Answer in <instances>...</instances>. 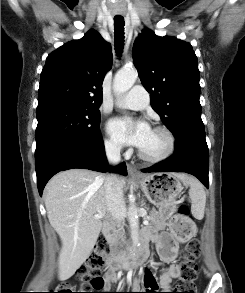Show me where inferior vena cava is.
Here are the masks:
<instances>
[{"label": "inferior vena cava", "mask_w": 245, "mask_h": 293, "mask_svg": "<svg viewBox=\"0 0 245 293\" xmlns=\"http://www.w3.org/2000/svg\"><path fill=\"white\" fill-rule=\"evenodd\" d=\"M107 160L112 165H117L120 162V147L116 145H107L105 147ZM105 199L108 211L112 218L118 223L124 215L123 190L116 174H110L106 177L105 183Z\"/></svg>", "instance_id": "obj_1"}]
</instances>
